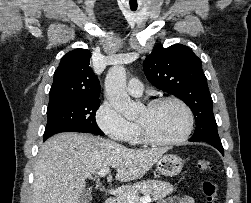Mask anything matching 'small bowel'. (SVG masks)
<instances>
[{
    "label": "small bowel",
    "instance_id": "obj_1",
    "mask_svg": "<svg viewBox=\"0 0 251 203\" xmlns=\"http://www.w3.org/2000/svg\"><path fill=\"white\" fill-rule=\"evenodd\" d=\"M159 203H195L194 199L188 196L185 197H176V196H172L167 198L166 200H163Z\"/></svg>",
    "mask_w": 251,
    "mask_h": 203
}]
</instances>
